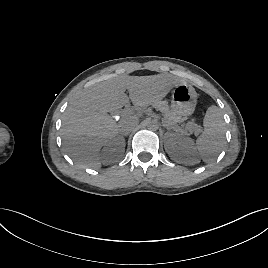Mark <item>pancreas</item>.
Returning <instances> with one entry per match:
<instances>
[{
    "mask_svg": "<svg viewBox=\"0 0 268 268\" xmlns=\"http://www.w3.org/2000/svg\"><path fill=\"white\" fill-rule=\"evenodd\" d=\"M159 111L162 112L164 115V122L166 125H168L170 128L174 130H178L177 123L182 121V118L174 113L172 110H170L168 104L166 102H159L155 105ZM194 124V123H192ZM187 129H194L193 127L187 128Z\"/></svg>",
    "mask_w": 268,
    "mask_h": 268,
    "instance_id": "pancreas-1",
    "label": "pancreas"
}]
</instances>
